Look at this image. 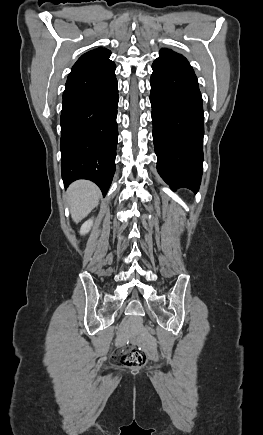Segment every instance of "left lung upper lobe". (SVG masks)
Wrapping results in <instances>:
<instances>
[{"label":"left lung upper lobe","instance_id":"left-lung-upper-lobe-1","mask_svg":"<svg viewBox=\"0 0 263 435\" xmlns=\"http://www.w3.org/2000/svg\"><path fill=\"white\" fill-rule=\"evenodd\" d=\"M157 59H161L169 64L177 65L193 71L191 65L189 64V62L184 56L170 49H166V48L161 49L160 55Z\"/></svg>","mask_w":263,"mask_h":435}]
</instances>
